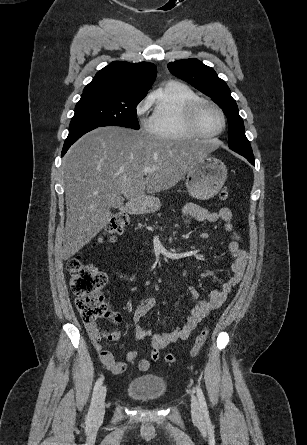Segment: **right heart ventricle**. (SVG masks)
Here are the masks:
<instances>
[{"instance_id":"obj_1","label":"right heart ventricle","mask_w":307,"mask_h":445,"mask_svg":"<svg viewBox=\"0 0 307 445\" xmlns=\"http://www.w3.org/2000/svg\"><path fill=\"white\" fill-rule=\"evenodd\" d=\"M196 99V93L186 85H158L145 101L153 111L151 131L161 140H194L196 135L188 122L187 109Z\"/></svg>"}]
</instances>
